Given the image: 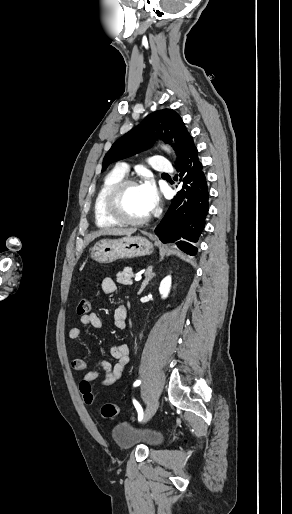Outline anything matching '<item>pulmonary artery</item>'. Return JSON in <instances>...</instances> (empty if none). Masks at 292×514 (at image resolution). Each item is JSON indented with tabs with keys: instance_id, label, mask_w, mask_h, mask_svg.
Here are the masks:
<instances>
[{
	"instance_id": "e3ab8cb5",
	"label": "pulmonary artery",
	"mask_w": 292,
	"mask_h": 514,
	"mask_svg": "<svg viewBox=\"0 0 292 514\" xmlns=\"http://www.w3.org/2000/svg\"><path fill=\"white\" fill-rule=\"evenodd\" d=\"M145 163L147 165H152V169L155 172H168L171 168L170 163L168 161H166L164 156H155L153 159L147 158L145 160ZM116 171L119 174L126 176L128 173V168L126 167V165L124 163H121L119 165V167L116 168Z\"/></svg>"
}]
</instances>
